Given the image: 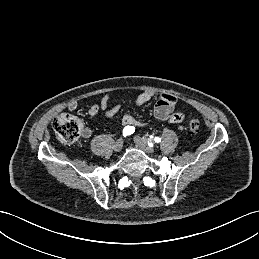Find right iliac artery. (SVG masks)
Instances as JSON below:
<instances>
[{"label":"right iliac artery","mask_w":259,"mask_h":259,"mask_svg":"<svg viewBox=\"0 0 259 259\" xmlns=\"http://www.w3.org/2000/svg\"><path fill=\"white\" fill-rule=\"evenodd\" d=\"M134 132H135V127H133V126H126L123 129V136L124 137L129 136V135L133 134Z\"/></svg>","instance_id":"1"}]
</instances>
